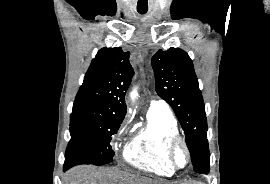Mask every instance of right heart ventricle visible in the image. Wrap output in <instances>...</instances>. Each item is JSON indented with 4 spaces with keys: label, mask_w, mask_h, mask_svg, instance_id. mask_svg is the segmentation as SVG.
<instances>
[{
    "label": "right heart ventricle",
    "mask_w": 270,
    "mask_h": 184,
    "mask_svg": "<svg viewBox=\"0 0 270 184\" xmlns=\"http://www.w3.org/2000/svg\"><path fill=\"white\" fill-rule=\"evenodd\" d=\"M179 133L178 123L169 108H149L147 122L132 137L124 150L130 165L160 176H171L175 170L167 160V145Z\"/></svg>",
    "instance_id": "obj_1"
}]
</instances>
